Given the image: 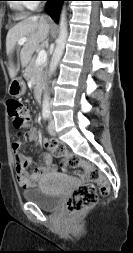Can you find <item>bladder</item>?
<instances>
[{"label": "bladder", "mask_w": 133, "mask_h": 253, "mask_svg": "<svg viewBox=\"0 0 133 253\" xmlns=\"http://www.w3.org/2000/svg\"><path fill=\"white\" fill-rule=\"evenodd\" d=\"M22 197L45 211L56 209L62 199L59 192L49 191L43 187H31L22 192Z\"/></svg>", "instance_id": "bladder-1"}]
</instances>
